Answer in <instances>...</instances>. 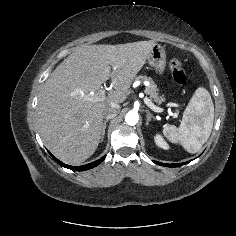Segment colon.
Segmentation results:
<instances>
[{
  "label": "colon",
  "instance_id": "1",
  "mask_svg": "<svg viewBox=\"0 0 236 236\" xmlns=\"http://www.w3.org/2000/svg\"><path fill=\"white\" fill-rule=\"evenodd\" d=\"M169 68L173 80L178 84H184L187 81V71L178 58H172L169 61Z\"/></svg>",
  "mask_w": 236,
  "mask_h": 236
}]
</instances>
